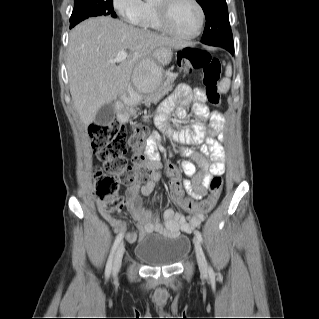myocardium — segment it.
I'll return each mask as SVG.
<instances>
[{"label":"myocardium","mask_w":319,"mask_h":319,"mask_svg":"<svg viewBox=\"0 0 319 319\" xmlns=\"http://www.w3.org/2000/svg\"><path fill=\"white\" fill-rule=\"evenodd\" d=\"M175 1L176 0H156L155 8H156L157 16H158L161 27L168 34L172 35L175 38L181 39V40H192V39L198 37V35L202 31L204 21H205V13H204L203 7L201 6V4L199 3L198 0H190V2H192L194 4V6L196 7V9L198 11L199 21H198V25H197V28H196L194 33H192L190 35H182V34H179L178 32H176L172 28V26L170 25V22H169L170 10H171V7Z\"/></svg>","instance_id":"f54148a6"}]
</instances>
